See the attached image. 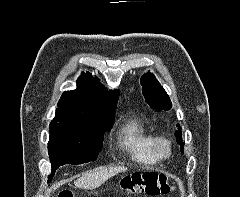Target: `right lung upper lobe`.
Returning <instances> with one entry per match:
<instances>
[{
  "label": "right lung upper lobe",
  "instance_id": "cb5924a9",
  "mask_svg": "<svg viewBox=\"0 0 240 197\" xmlns=\"http://www.w3.org/2000/svg\"><path fill=\"white\" fill-rule=\"evenodd\" d=\"M78 88L65 91L52 122L74 125H100L114 121L120 91H110L97 77L82 73Z\"/></svg>",
  "mask_w": 240,
  "mask_h": 197
}]
</instances>
